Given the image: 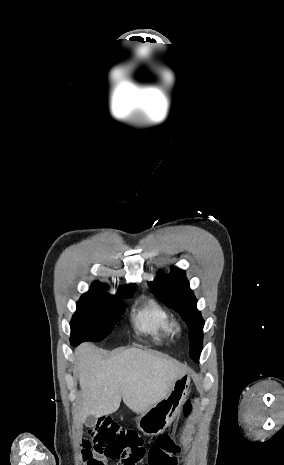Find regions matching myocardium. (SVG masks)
I'll return each instance as SVG.
<instances>
[{
	"label": "myocardium",
	"mask_w": 284,
	"mask_h": 465,
	"mask_svg": "<svg viewBox=\"0 0 284 465\" xmlns=\"http://www.w3.org/2000/svg\"><path fill=\"white\" fill-rule=\"evenodd\" d=\"M174 331H175L176 333H178V334H179V333H182V331H183V326H182L180 323H178V322L175 323Z\"/></svg>",
	"instance_id": "obj_1"
}]
</instances>
